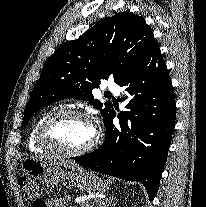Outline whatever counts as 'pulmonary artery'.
<instances>
[{
    "mask_svg": "<svg viewBox=\"0 0 206 207\" xmlns=\"http://www.w3.org/2000/svg\"><path fill=\"white\" fill-rule=\"evenodd\" d=\"M109 89L112 91L113 94L119 95L120 94V87L116 84H109L108 85Z\"/></svg>",
    "mask_w": 206,
    "mask_h": 207,
    "instance_id": "pulmonary-artery-1",
    "label": "pulmonary artery"
}]
</instances>
